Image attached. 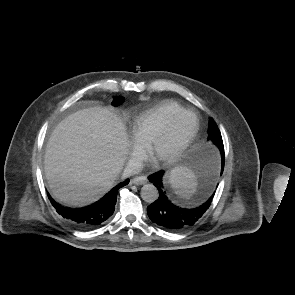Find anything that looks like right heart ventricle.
I'll list each match as a JSON object with an SVG mask.
<instances>
[{
    "instance_id": "right-heart-ventricle-1",
    "label": "right heart ventricle",
    "mask_w": 295,
    "mask_h": 295,
    "mask_svg": "<svg viewBox=\"0 0 295 295\" xmlns=\"http://www.w3.org/2000/svg\"><path fill=\"white\" fill-rule=\"evenodd\" d=\"M184 108L176 102L166 101L139 113L131 122L134 140L148 147L156 135Z\"/></svg>"
}]
</instances>
